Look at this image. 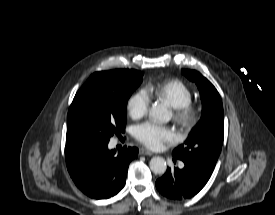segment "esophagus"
Listing matches in <instances>:
<instances>
[{"mask_svg": "<svg viewBox=\"0 0 275 215\" xmlns=\"http://www.w3.org/2000/svg\"><path fill=\"white\" fill-rule=\"evenodd\" d=\"M139 153L141 155H147V156L153 155V153L146 148H140Z\"/></svg>", "mask_w": 275, "mask_h": 215, "instance_id": "esophagus-1", "label": "esophagus"}]
</instances>
